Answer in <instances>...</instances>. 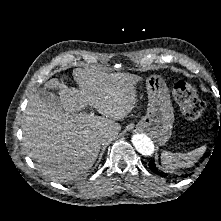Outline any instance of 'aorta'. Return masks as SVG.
<instances>
[{
  "instance_id": "obj_1",
  "label": "aorta",
  "mask_w": 221,
  "mask_h": 221,
  "mask_svg": "<svg viewBox=\"0 0 221 221\" xmlns=\"http://www.w3.org/2000/svg\"><path fill=\"white\" fill-rule=\"evenodd\" d=\"M131 139L135 149L142 155L150 156L154 153V144L146 135L134 134Z\"/></svg>"
}]
</instances>
